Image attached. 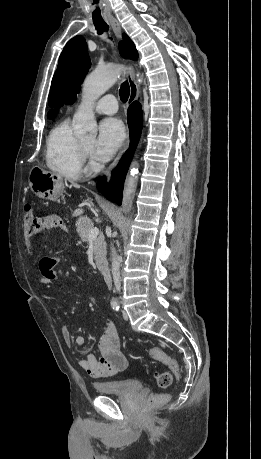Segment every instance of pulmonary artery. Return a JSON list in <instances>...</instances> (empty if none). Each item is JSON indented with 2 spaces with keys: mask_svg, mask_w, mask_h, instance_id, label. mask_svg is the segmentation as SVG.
<instances>
[{
  "mask_svg": "<svg viewBox=\"0 0 261 459\" xmlns=\"http://www.w3.org/2000/svg\"><path fill=\"white\" fill-rule=\"evenodd\" d=\"M118 103L114 95L108 94L100 98L94 105L95 112L112 115L117 112Z\"/></svg>",
  "mask_w": 261,
  "mask_h": 459,
  "instance_id": "e3ab8cb5",
  "label": "pulmonary artery"
}]
</instances>
